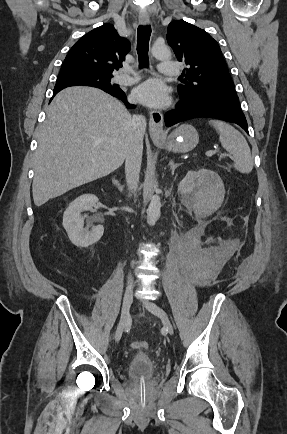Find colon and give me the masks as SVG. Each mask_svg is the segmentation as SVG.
Listing matches in <instances>:
<instances>
[{
    "label": "colon",
    "mask_w": 287,
    "mask_h": 434,
    "mask_svg": "<svg viewBox=\"0 0 287 434\" xmlns=\"http://www.w3.org/2000/svg\"><path fill=\"white\" fill-rule=\"evenodd\" d=\"M132 348L137 350H146L148 345L145 341L137 340L131 343Z\"/></svg>",
    "instance_id": "1"
}]
</instances>
